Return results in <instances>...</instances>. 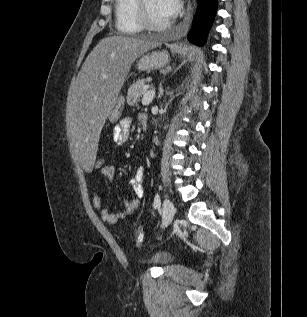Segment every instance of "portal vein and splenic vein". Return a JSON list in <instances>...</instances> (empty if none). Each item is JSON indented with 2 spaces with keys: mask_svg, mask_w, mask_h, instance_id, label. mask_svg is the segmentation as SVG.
<instances>
[{
  "mask_svg": "<svg viewBox=\"0 0 307 317\" xmlns=\"http://www.w3.org/2000/svg\"><path fill=\"white\" fill-rule=\"evenodd\" d=\"M154 95H155L154 90L146 91L145 94L143 95V98H142V104L143 105L150 104L154 98Z\"/></svg>",
  "mask_w": 307,
  "mask_h": 317,
  "instance_id": "1",
  "label": "portal vein and splenic vein"
}]
</instances>
